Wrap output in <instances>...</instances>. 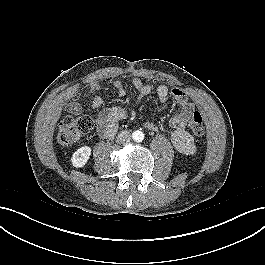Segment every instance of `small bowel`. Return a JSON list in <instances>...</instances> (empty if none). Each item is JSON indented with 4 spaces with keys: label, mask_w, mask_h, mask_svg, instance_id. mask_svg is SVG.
I'll return each mask as SVG.
<instances>
[{
    "label": "small bowel",
    "mask_w": 265,
    "mask_h": 265,
    "mask_svg": "<svg viewBox=\"0 0 265 265\" xmlns=\"http://www.w3.org/2000/svg\"><path fill=\"white\" fill-rule=\"evenodd\" d=\"M132 84L138 92L136 103H139L144 97L155 91L158 99L161 102H166L170 97L178 104V111L171 117L169 125L173 129L171 141L175 149L185 155H192L196 151V145L193 137L187 131V124L196 106L189 101L187 93L184 89L179 87L170 88L165 84L158 85L155 89L149 83L144 82L140 77H134ZM113 87L121 96L125 95L126 89L124 83L117 79L113 81ZM101 90L97 82L90 85V93L92 96L90 109L95 110L100 108L105 99L99 95ZM75 94V90H69L66 93L67 97ZM66 109L72 114H79L81 112V105L78 102H69ZM130 112V108L122 106H114L103 110L99 113L97 119V130L101 137L111 138L117 132L120 121L125 119ZM144 126L150 130H156L158 127L151 121H145Z\"/></svg>",
    "instance_id": "1"
}]
</instances>
